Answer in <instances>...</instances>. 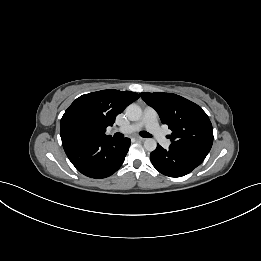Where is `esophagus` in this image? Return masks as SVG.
I'll return each mask as SVG.
<instances>
[{"mask_svg":"<svg viewBox=\"0 0 261 261\" xmlns=\"http://www.w3.org/2000/svg\"><path fill=\"white\" fill-rule=\"evenodd\" d=\"M136 140H137V141H144L145 139L142 138V137H136Z\"/></svg>","mask_w":261,"mask_h":261,"instance_id":"esophagus-1","label":"esophagus"}]
</instances>
